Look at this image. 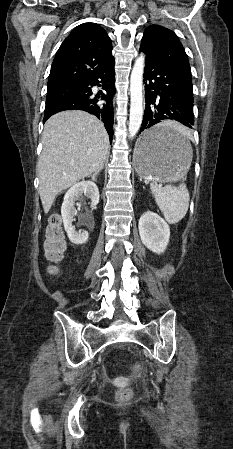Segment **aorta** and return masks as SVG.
I'll return each instance as SVG.
<instances>
[{
	"instance_id": "aorta-1",
	"label": "aorta",
	"mask_w": 233,
	"mask_h": 449,
	"mask_svg": "<svg viewBox=\"0 0 233 449\" xmlns=\"http://www.w3.org/2000/svg\"><path fill=\"white\" fill-rule=\"evenodd\" d=\"M145 57L140 55L133 66L130 77V117H129V137L133 138L138 132L143 119V73H144Z\"/></svg>"
}]
</instances>
